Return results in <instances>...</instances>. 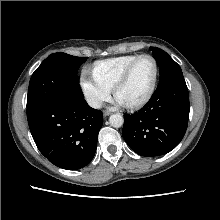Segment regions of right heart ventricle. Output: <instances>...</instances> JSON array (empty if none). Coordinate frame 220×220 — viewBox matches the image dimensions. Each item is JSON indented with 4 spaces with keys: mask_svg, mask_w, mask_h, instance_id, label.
Returning a JSON list of instances; mask_svg holds the SVG:
<instances>
[{
    "mask_svg": "<svg viewBox=\"0 0 220 220\" xmlns=\"http://www.w3.org/2000/svg\"><path fill=\"white\" fill-rule=\"evenodd\" d=\"M138 56L131 54L97 61L93 66V74L100 82L113 88L128 65Z\"/></svg>",
    "mask_w": 220,
    "mask_h": 220,
    "instance_id": "e07e8e85",
    "label": "right heart ventricle"
}]
</instances>
